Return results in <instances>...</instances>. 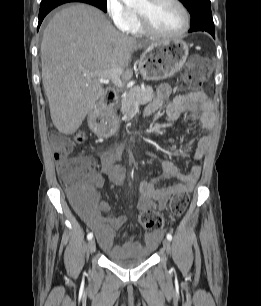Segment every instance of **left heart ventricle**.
Here are the masks:
<instances>
[{
    "mask_svg": "<svg viewBox=\"0 0 261 306\" xmlns=\"http://www.w3.org/2000/svg\"><path fill=\"white\" fill-rule=\"evenodd\" d=\"M135 10L145 13L152 25L164 33H175L183 25L181 10L170 0H157L154 3L141 0Z\"/></svg>",
    "mask_w": 261,
    "mask_h": 306,
    "instance_id": "1",
    "label": "left heart ventricle"
}]
</instances>
